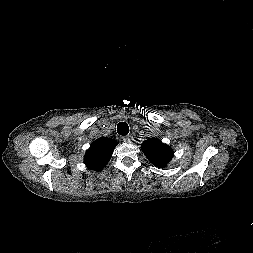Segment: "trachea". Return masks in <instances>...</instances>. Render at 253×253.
I'll return each instance as SVG.
<instances>
[{"mask_svg": "<svg viewBox=\"0 0 253 253\" xmlns=\"http://www.w3.org/2000/svg\"><path fill=\"white\" fill-rule=\"evenodd\" d=\"M117 132L119 135L125 136L129 133V126L125 122H120L117 125Z\"/></svg>", "mask_w": 253, "mask_h": 253, "instance_id": "1", "label": "trachea"}]
</instances>
